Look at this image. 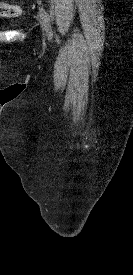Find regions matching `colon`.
I'll return each instance as SVG.
<instances>
[{"mask_svg":"<svg viewBox=\"0 0 133 275\" xmlns=\"http://www.w3.org/2000/svg\"><path fill=\"white\" fill-rule=\"evenodd\" d=\"M20 13L21 8L19 6L0 2V16L14 17L20 15Z\"/></svg>","mask_w":133,"mask_h":275,"instance_id":"1","label":"colon"}]
</instances>
